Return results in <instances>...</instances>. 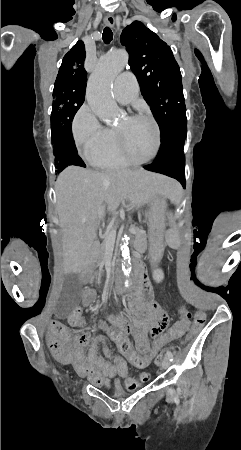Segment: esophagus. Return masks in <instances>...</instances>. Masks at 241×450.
<instances>
[{"instance_id": "esophagus-1", "label": "esophagus", "mask_w": 241, "mask_h": 450, "mask_svg": "<svg viewBox=\"0 0 241 450\" xmlns=\"http://www.w3.org/2000/svg\"><path fill=\"white\" fill-rule=\"evenodd\" d=\"M104 22L109 25L110 27L114 26L115 24V20L114 17L112 15H109L107 17L104 18Z\"/></svg>"}]
</instances>
